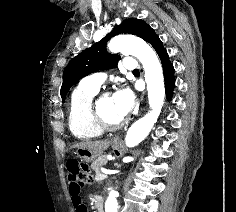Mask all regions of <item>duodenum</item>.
<instances>
[{"mask_svg": "<svg viewBox=\"0 0 236 212\" xmlns=\"http://www.w3.org/2000/svg\"><path fill=\"white\" fill-rule=\"evenodd\" d=\"M94 201L96 206V212H103L104 211L103 198L100 195H96Z\"/></svg>", "mask_w": 236, "mask_h": 212, "instance_id": "obj_1", "label": "duodenum"}]
</instances>
